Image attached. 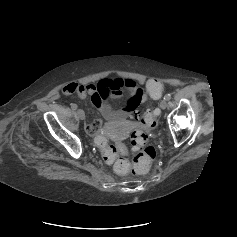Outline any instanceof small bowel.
Instances as JSON below:
<instances>
[{
	"mask_svg": "<svg viewBox=\"0 0 237 237\" xmlns=\"http://www.w3.org/2000/svg\"><path fill=\"white\" fill-rule=\"evenodd\" d=\"M129 91V98L123 108L114 110L108 98L117 99L122 95V90ZM64 94H76L80 98L90 96L100 115L105 119V125L126 121L145 102L147 94L144 88L134 79H102L95 84L70 83L63 87ZM87 133L98 134L103 126L100 121H90L85 125Z\"/></svg>",
	"mask_w": 237,
	"mask_h": 237,
	"instance_id": "c3829d8e",
	"label": "small bowel"
}]
</instances>
